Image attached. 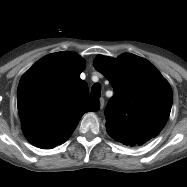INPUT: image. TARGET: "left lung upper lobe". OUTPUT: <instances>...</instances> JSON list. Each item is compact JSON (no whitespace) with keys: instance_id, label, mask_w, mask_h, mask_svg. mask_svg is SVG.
<instances>
[{"instance_id":"1","label":"left lung upper lobe","mask_w":187,"mask_h":187,"mask_svg":"<svg viewBox=\"0 0 187 187\" xmlns=\"http://www.w3.org/2000/svg\"><path fill=\"white\" fill-rule=\"evenodd\" d=\"M93 66L114 88L105 109L108 134L131 147L157 136L169 118L173 98L161 73L148 60L130 53L116 59L98 55Z\"/></svg>"}]
</instances>
